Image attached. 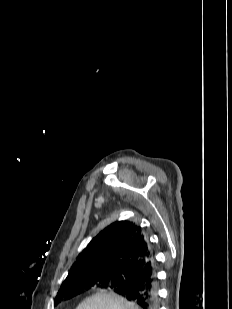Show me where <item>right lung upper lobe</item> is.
<instances>
[{
  "label": "right lung upper lobe",
  "mask_w": 232,
  "mask_h": 309,
  "mask_svg": "<svg viewBox=\"0 0 232 309\" xmlns=\"http://www.w3.org/2000/svg\"><path fill=\"white\" fill-rule=\"evenodd\" d=\"M152 256L141 227L127 220L116 221L95 236L78 255L65 281L88 271L123 274L135 267L140 269Z\"/></svg>",
  "instance_id": "obj_1"
}]
</instances>
